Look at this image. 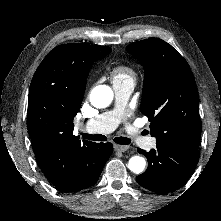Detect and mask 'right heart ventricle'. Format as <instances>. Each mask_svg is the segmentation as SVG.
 I'll return each instance as SVG.
<instances>
[{
    "label": "right heart ventricle",
    "mask_w": 221,
    "mask_h": 221,
    "mask_svg": "<svg viewBox=\"0 0 221 221\" xmlns=\"http://www.w3.org/2000/svg\"><path fill=\"white\" fill-rule=\"evenodd\" d=\"M136 72L134 68L128 64H120L115 66L111 71V79L113 84L133 83L135 82Z\"/></svg>",
    "instance_id": "obj_1"
}]
</instances>
